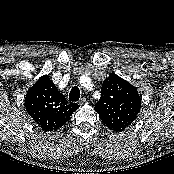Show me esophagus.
<instances>
[{"instance_id":"obj_1","label":"esophagus","mask_w":174,"mask_h":174,"mask_svg":"<svg viewBox=\"0 0 174 174\" xmlns=\"http://www.w3.org/2000/svg\"><path fill=\"white\" fill-rule=\"evenodd\" d=\"M86 103H87V100H86L85 97L81 98L80 101H79V104H80V105H84V104H86Z\"/></svg>"}]
</instances>
